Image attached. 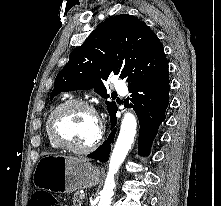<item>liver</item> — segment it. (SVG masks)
Listing matches in <instances>:
<instances>
[{"label":"liver","instance_id":"1","mask_svg":"<svg viewBox=\"0 0 221 206\" xmlns=\"http://www.w3.org/2000/svg\"><path fill=\"white\" fill-rule=\"evenodd\" d=\"M80 160H83V161H88L87 159H80Z\"/></svg>","mask_w":221,"mask_h":206}]
</instances>
